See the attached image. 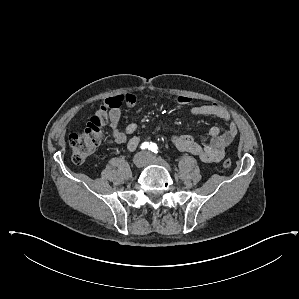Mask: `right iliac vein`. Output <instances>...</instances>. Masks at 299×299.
<instances>
[{"instance_id": "obj_1", "label": "right iliac vein", "mask_w": 299, "mask_h": 299, "mask_svg": "<svg viewBox=\"0 0 299 299\" xmlns=\"http://www.w3.org/2000/svg\"><path fill=\"white\" fill-rule=\"evenodd\" d=\"M134 165L137 167V168H141L144 166L145 164V157L142 155V154H137L135 157H134Z\"/></svg>"}]
</instances>
